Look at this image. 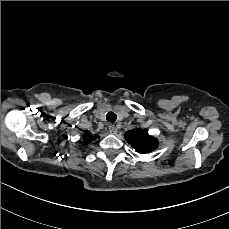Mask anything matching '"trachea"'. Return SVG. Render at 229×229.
Segmentation results:
<instances>
[{
	"label": "trachea",
	"mask_w": 229,
	"mask_h": 229,
	"mask_svg": "<svg viewBox=\"0 0 229 229\" xmlns=\"http://www.w3.org/2000/svg\"><path fill=\"white\" fill-rule=\"evenodd\" d=\"M116 114L114 112H108L106 115V119L108 122L114 123L116 121Z\"/></svg>",
	"instance_id": "trachea-1"
}]
</instances>
